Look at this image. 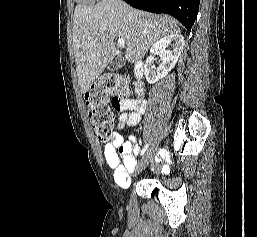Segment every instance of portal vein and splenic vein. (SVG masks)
Returning a JSON list of instances; mask_svg holds the SVG:
<instances>
[{"instance_id": "1", "label": "portal vein and splenic vein", "mask_w": 257, "mask_h": 237, "mask_svg": "<svg viewBox=\"0 0 257 237\" xmlns=\"http://www.w3.org/2000/svg\"><path fill=\"white\" fill-rule=\"evenodd\" d=\"M117 44L120 48L124 49L125 48V41L123 39H118Z\"/></svg>"}]
</instances>
